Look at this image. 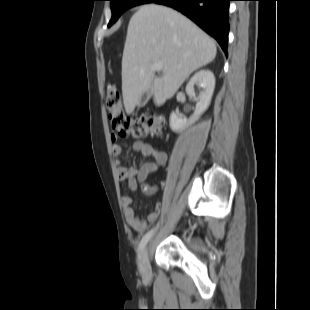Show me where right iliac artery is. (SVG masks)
I'll return each instance as SVG.
<instances>
[{
	"instance_id": "obj_1",
	"label": "right iliac artery",
	"mask_w": 310,
	"mask_h": 310,
	"mask_svg": "<svg viewBox=\"0 0 310 310\" xmlns=\"http://www.w3.org/2000/svg\"><path fill=\"white\" fill-rule=\"evenodd\" d=\"M154 233V228L151 229L150 231H148L141 239L139 246H138V262H139V266H140V257H141V253L144 249V247L146 246L148 240L151 238V236Z\"/></svg>"
}]
</instances>
